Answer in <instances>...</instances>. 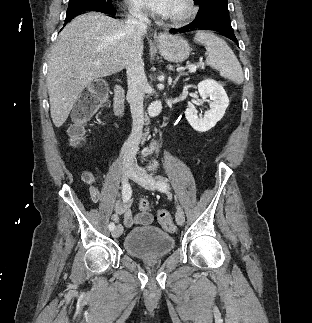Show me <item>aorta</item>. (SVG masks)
Returning <instances> with one entry per match:
<instances>
[{"instance_id":"obj_1","label":"aorta","mask_w":312,"mask_h":323,"mask_svg":"<svg viewBox=\"0 0 312 323\" xmlns=\"http://www.w3.org/2000/svg\"><path fill=\"white\" fill-rule=\"evenodd\" d=\"M161 110L162 104L161 102H159V100H156V102H152V104H150L148 108V114L149 116H152V118H154V116H158V114H160Z\"/></svg>"}]
</instances>
